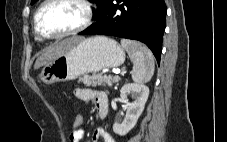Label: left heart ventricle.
<instances>
[{
    "instance_id": "left-heart-ventricle-1",
    "label": "left heart ventricle",
    "mask_w": 227,
    "mask_h": 142,
    "mask_svg": "<svg viewBox=\"0 0 227 142\" xmlns=\"http://www.w3.org/2000/svg\"><path fill=\"white\" fill-rule=\"evenodd\" d=\"M84 19L83 7L74 0H60L47 5L39 15L41 32L60 34L79 26Z\"/></svg>"
}]
</instances>
